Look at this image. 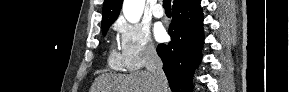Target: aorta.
Segmentation results:
<instances>
[{"mask_svg":"<svg viewBox=\"0 0 289 92\" xmlns=\"http://www.w3.org/2000/svg\"><path fill=\"white\" fill-rule=\"evenodd\" d=\"M145 6V0H125L123 3V14L125 18L135 23L140 20Z\"/></svg>","mask_w":289,"mask_h":92,"instance_id":"1","label":"aorta"}]
</instances>
